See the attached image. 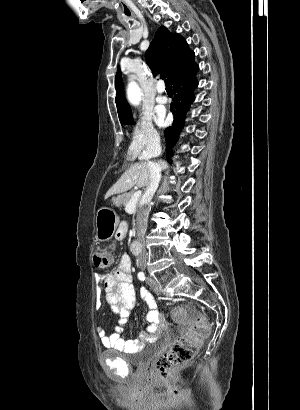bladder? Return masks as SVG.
I'll return each mask as SVG.
<instances>
[{
    "label": "bladder",
    "instance_id": "obj_1",
    "mask_svg": "<svg viewBox=\"0 0 300 410\" xmlns=\"http://www.w3.org/2000/svg\"><path fill=\"white\" fill-rule=\"evenodd\" d=\"M156 352V347L146 346L139 350L136 354L123 356L122 359L134 367H144L151 361Z\"/></svg>",
    "mask_w": 300,
    "mask_h": 410
}]
</instances>
